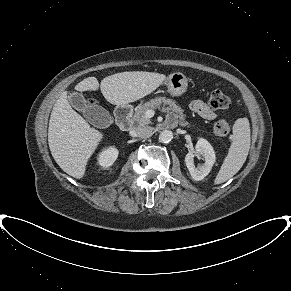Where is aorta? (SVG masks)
Masks as SVG:
<instances>
[{
  "instance_id": "aorta-1",
  "label": "aorta",
  "mask_w": 291,
  "mask_h": 291,
  "mask_svg": "<svg viewBox=\"0 0 291 291\" xmlns=\"http://www.w3.org/2000/svg\"><path fill=\"white\" fill-rule=\"evenodd\" d=\"M173 139V133L170 130H163L159 134V141L162 143H169Z\"/></svg>"
}]
</instances>
